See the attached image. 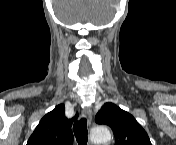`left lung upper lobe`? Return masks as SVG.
<instances>
[{"instance_id": "left-lung-upper-lobe-1", "label": "left lung upper lobe", "mask_w": 176, "mask_h": 145, "mask_svg": "<svg viewBox=\"0 0 176 145\" xmlns=\"http://www.w3.org/2000/svg\"><path fill=\"white\" fill-rule=\"evenodd\" d=\"M95 121L112 128L115 145H151L146 131L136 119L111 102L101 107Z\"/></svg>"}]
</instances>
